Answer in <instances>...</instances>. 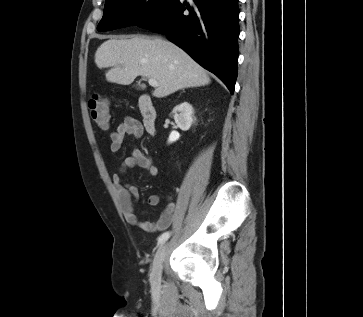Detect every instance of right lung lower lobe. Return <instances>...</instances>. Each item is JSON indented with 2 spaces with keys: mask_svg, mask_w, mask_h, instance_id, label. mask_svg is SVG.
Instances as JSON below:
<instances>
[{
  "mask_svg": "<svg viewBox=\"0 0 363 317\" xmlns=\"http://www.w3.org/2000/svg\"><path fill=\"white\" fill-rule=\"evenodd\" d=\"M193 2L190 6L176 0L166 12L138 26L165 34L233 93L238 73V0Z\"/></svg>",
  "mask_w": 363,
  "mask_h": 317,
  "instance_id": "obj_1",
  "label": "right lung lower lobe"
}]
</instances>
